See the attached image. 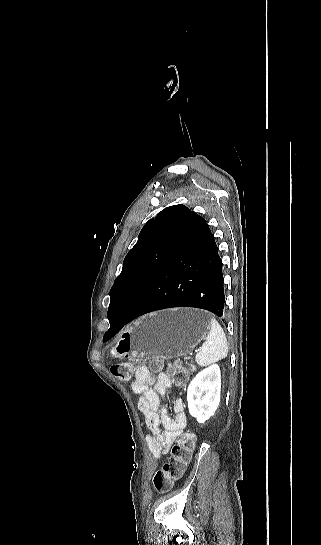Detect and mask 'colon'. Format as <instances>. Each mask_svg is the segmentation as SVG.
Segmentation results:
<instances>
[{
  "instance_id": "colon-1",
  "label": "colon",
  "mask_w": 321,
  "mask_h": 545,
  "mask_svg": "<svg viewBox=\"0 0 321 545\" xmlns=\"http://www.w3.org/2000/svg\"><path fill=\"white\" fill-rule=\"evenodd\" d=\"M161 364L159 359H153L151 362L154 370L160 369ZM138 366L139 361L114 364L111 367V373L119 381L127 384L132 381L134 370ZM178 367L177 363L172 366L173 369H177ZM194 447L195 437L192 435H186L177 440L172 447L171 457L153 476V484L157 491L162 493L167 492L182 477Z\"/></svg>"
}]
</instances>
